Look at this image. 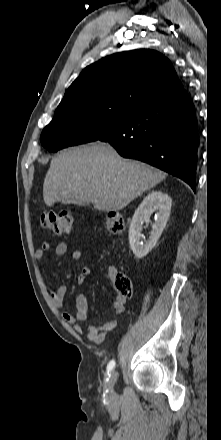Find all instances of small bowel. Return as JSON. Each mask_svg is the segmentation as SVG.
I'll list each match as a JSON object with an SVG mask.
<instances>
[{"label":"small bowel","mask_w":221,"mask_h":440,"mask_svg":"<svg viewBox=\"0 0 221 440\" xmlns=\"http://www.w3.org/2000/svg\"><path fill=\"white\" fill-rule=\"evenodd\" d=\"M51 249V243L46 241L42 244V247L35 252L36 260H42L45 256L46 251ZM68 245L66 242H59L55 247V253L57 256H64L67 252ZM83 258V254L80 250H74L72 252V259L76 262H80ZM90 275V269L87 266L81 268L80 274L77 277V284L81 285L85 282L87 277ZM67 286L62 284L54 291H50L49 295L53 302V305L57 309H63L65 306L64 298L67 293ZM126 298L117 296L112 304L113 311L120 315L124 312ZM76 312L71 314L67 311L62 313V319L67 324L73 325L74 330L81 332L83 330V323L88 319V300L87 297L80 293L75 299ZM118 325V319L114 318L104 324H88L85 326L87 338L89 341L99 344L105 340L108 333L112 331Z\"/></svg>","instance_id":"c3829d8e"}]
</instances>
